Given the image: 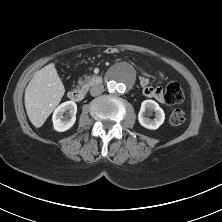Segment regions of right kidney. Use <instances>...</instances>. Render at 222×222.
Returning a JSON list of instances; mask_svg holds the SVG:
<instances>
[{
  "instance_id": "obj_1",
  "label": "right kidney",
  "mask_w": 222,
  "mask_h": 222,
  "mask_svg": "<svg viewBox=\"0 0 222 222\" xmlns=\"http://www.w3.org/2000/svg\"><path fill=\"white\" fill-rule=\"evenodd\" d=\"M66 116H64V114ZM77 113V105L74 101H66L60 104L54 111L52 116L53 127L58 132L70 129L75 121Z\"/></svg>"
}]
</instances>
